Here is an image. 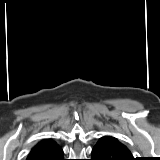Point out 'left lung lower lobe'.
<instances>
[{"label": "left lung lower lobe", "mask_w": 160, "mask_h": 160, "mask_svg": "<svg viewBox=\"0 0 160 160\" xmlns=\"http://www.w3.org/2000/svg\"><path fill=\"white\" fill-rule=\"evenodd\" d=\"M91 160H135L129 149L111 136L101 137L92 150Z\"/></svg>", "instance_id": "1"}]
</instances>
